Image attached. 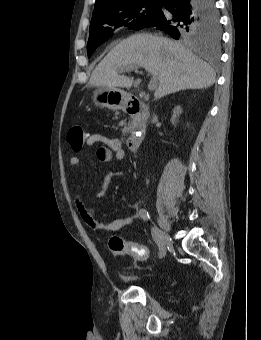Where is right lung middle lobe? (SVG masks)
<instances>
[{"label": "right lung middle lobe", "mask_w": 261, "mask_h": 340, "mask_svg": "<svg viewBox=\"0 0 261 340\" xmlns=\"http://www.w3.org/2000/svg\"><path fill=\"white\" fill-rule=\"evenodd\" d=\"M163 0L139 1L127 6L118 8L102 18L91 21L88 40V57L95 49L108 40L113 32L121 27L139 30L146 27L154 16L161 10ZM220 23L218 13L200 16L195 13L189 16L183 24L179 25L177 39L188 41L220 39Z\"/></svg>", "instance_id": "dd1d6c3e"}]
</instances>
